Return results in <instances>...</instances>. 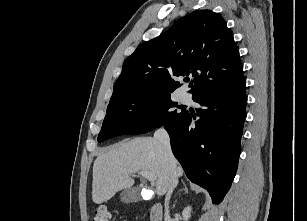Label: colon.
<instances>
[{
	"label": "colon",
	"mask_w": 307,
	"mask_h": 221,
	"mask_svg": "<svg viewBox=\"0 0 307 221\" xmlns=\"http://www.w3.org/2000/svg\"><path fill=\"white\" fill-rule=\"evenodd\" d=\"M110 220H111V215L106 206L101 205L95 210L92 221H110Z\"/></svg>",
	"instance_id": "colon-1"
}]
</instances>
